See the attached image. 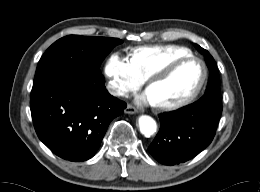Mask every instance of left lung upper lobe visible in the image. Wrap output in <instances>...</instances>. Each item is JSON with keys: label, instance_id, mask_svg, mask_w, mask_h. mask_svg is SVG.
Wrapping results in <instances>:
<instances>
[{"label": "left lung upper lobe", "instance_id": "obj_1", "mask_svg": "<svg viewBox=\"0 0 260 192\" xmlns=\"http://www.w3.org/2000/svg\"><path fill=\"white\" fill-rule=\"evenodd\" d=\"M199 51H201L204 56H205V60L207 62V65L209 67V81H208V85L205 91V94L203 97L205 96H216L219 97L220 96V82H219V74L216 68V64L215 61L213 59V57L209 54V52L203 48H201L200 46H198Z\"/></svg>", "mask_w": 260, "mask_h": 192}]
</instances>
